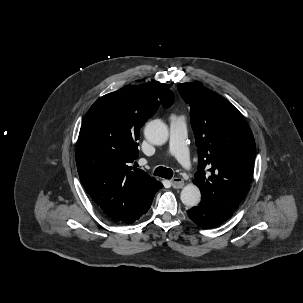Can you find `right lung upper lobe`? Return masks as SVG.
<instances>
[{
  "label": "right lung upper lobe",
  "instance_id": "right-lung-upper-lobe-1",
  "mask_svg": "<svg viewBox=\"0 0 303 303\" xmlns=\"http://www.w3.org/2000/svg\"><path fill=\"white\" fill-rule=\"evenodd\" d=\"M167 84L133 85L100 97L87 112L78 138L76 164L86 192L112 219L136 209L160 183L131 166L139 131L160 104L174 95Z\"/></svg>",
  "mask_w": 303,
  "mask_h": 303
}]
</instances>
